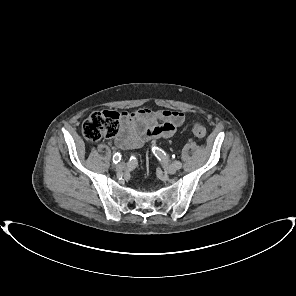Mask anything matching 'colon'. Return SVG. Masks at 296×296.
I'll use <instances>...</instances> for the list:
<instances>
[{
	"instance_id": "1",
	"label": "colon",
	"mask_w": 296,
	"mask_h": 296,
	"mask_svg": "<svg viewBox=\"0 0 296 296\" xmlns=\"http://www.w3.org/2000/svg\"><path fill=\"white\" fill-rule=\"evenodd\" d=\"M121 114L113 110H103L92 113L82 124V133L92 142L102 138H111L119 132ZM192 132L197 138L206 135V129L200 123L192 124Z\"/></svg>"
}]
</instances>
